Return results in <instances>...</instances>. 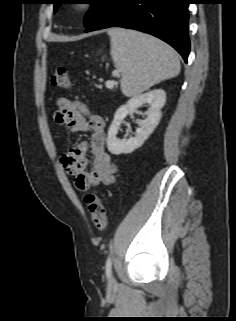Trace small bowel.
I'll return each mask as SVG.
<instances>
[{
  "label": "small bowel",
  "instance_id": "obj_1",
  "mask_svg": "<svg viewBox=\"0 0 236 321\" xmlns=\"http://www.w3.org/2000/svg\"><path fill=\"white\" fill-rule=\"evenodd\" d=\"M54 122L71 132H90L89 141H82L61 157V164L74 177L75 187L85 191L92 186L110 185L115 180L118 167L112 163L105 149L106 122L102 116L90 112L79 101L60 98L53 113ZM90 153V158H88Z\"/></svg>",
  "mask_w": 236,
  "mask_h": 321
}]
</instances>
